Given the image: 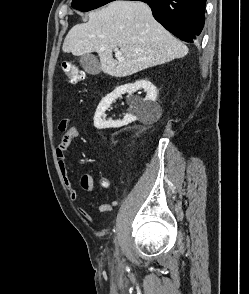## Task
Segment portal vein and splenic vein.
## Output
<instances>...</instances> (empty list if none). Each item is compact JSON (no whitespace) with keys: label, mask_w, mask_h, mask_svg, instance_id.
I'll use <instances>...</instances> for the list:
<instances>
[{"label":"portal vein and splenic vein","mask_w":249,"mask_h":294,"mask_svg":"<svg viewBox=\"0 0 249 294\" xmlns=\"http://www.w3.org/2000/svg\"><path fill=\"white\" fill-rule=\"evenodd\" d=\"M115 57H116V59H118V60H123L121 50H119V49H115Z\"/></svg>","instance_id":"1"}]
</instances>
